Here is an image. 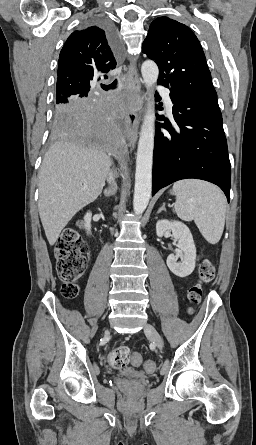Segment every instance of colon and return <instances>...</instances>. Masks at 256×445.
<instances>
[{"instance_id":"colon-1","label":"colon","mask_w":256,"mask_h":445,"mask_svg":"<svg viewBox=\"0 0 256 445\" xmlns=\"http://www.w3.org/2000/svg\"><path fill=\"white\" fill-rule=\"evenodd\" d=\"M82 228L83 222L78 221L74 227L65 229L55 247L56 268L63 281L61 292L67 299L77 297L79 289L76 281L82 276L86 267L85 254L88 251V245L81 236ZM215 274L213 264L208 259L203 260L199 266L198 283L190 287L188 291V299L191 303L197 304L201 301L202 286L212 282ZM107 360L111 367L122 369L130 362L133 365H140L142 355L131 353L127 346H119L110 351ZM144 367L148 372H152L155 370V362L147 360Z\"/></svg>"}]
</instances>
